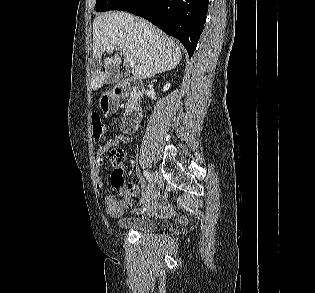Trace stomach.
Segmentation results:
<instances>
[{"label": "stomach", "instance_id": "obj_1", "mask_svg": "<svg viewBox=\"0 0 315 293\" xmlns=\"http://www.w3.org/2000/svg\"><path fill=\"white\" fill-rule=\"evenodd\" d=\"M121 103V96L119 92H102L101 99H99V106L103 112H111L118 110Z\"/></svg>", "mask_w": 315, "mask_h": 293}]
</instances>
